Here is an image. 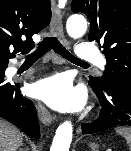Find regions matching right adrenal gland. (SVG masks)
Segmentation results:
<instances>
[{
    "label": "right adrenal gland",
    "instance_id": "right-adrenal-gland-1",
    "mask_svg": "<svg viewBox=\"0 0 131 151\" xmlns=\"http://www.w3.org/2000/svg\"><path fill=\"white\" fill-rule=\"evenodd\" d=\"M19 151H24V149H19Z\"/></svg>",
    "mask_w": 131,
    "mask_h": 151
}]
</instances>
